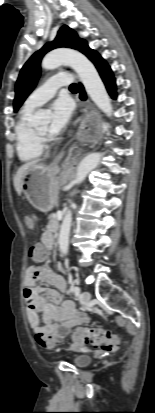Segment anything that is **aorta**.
Returning a JSON list of instances; mask_svg holds the SVG:
<instances>
[{"mask_svg":"<svg viewBox=\"0 0 155 413\" xmlns=\"http://www.w3.org/2000/svg\"><path fill=\"white\" fill-rule=\"evenodd\" d=\"M62 64L69 65L78 74L87 94L96 106L107 116H112L113 108L105 86L95 66L80 52L71 49H56L47 54L42 61V68L51 70ZM46 116L45 111L39 110L34 115V122L39 123ZM102 154L94 152L88 154L79 163L74 182L81 184L87 174L95 169ZM73 192L72 194H74ZM74 203L71 202V207ZM72 224V212L68 209L63 218L59 233V248L63 255L68 253L69 236Z\"/></svg>","mask_w":155,"mask_h":413,"instance_id":"1","label":"aorta"}]
</instances>
